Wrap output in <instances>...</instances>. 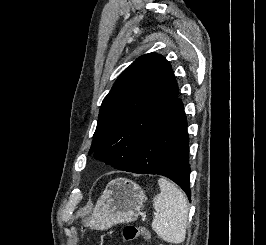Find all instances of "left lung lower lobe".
Listing matches in <instances>:
<instances>
[{"mask_svg":"<svg viewBox=\"0 0 266 245\" xmlns=\"http://www.w3.org/2000/svg\"><path fill=\"white\" fill-rule=\"evenodd\" d=\"M125 171L165 176L191 196L187 121L178 97L143 135Z\"/></svg>","mask_w":266,"mask_h":245,"instance_id":"left-lung-lower-lobe-1","label":"left lung lower lobe"}]
</instances>
